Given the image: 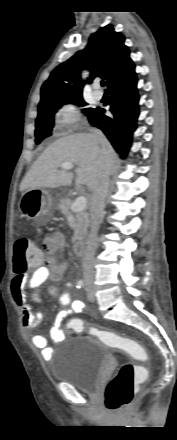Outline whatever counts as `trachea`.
Wrapping results in <instances>:
<instances>
[{
    "mask_svg": "<svg viewBox=\"0 0 177 440\" xmlns=\"http://www.w3.org/2000/svg\"><path fill=\"white\" fill-rule=\"evenodd\" d=\"M101 85L104 86V85H105V82H104V81H101Z\"/></svg>",
    "mask_w": 177,
    "mask_h": 440,
    "instance_id": "trachea-1",
    "label": "trachea"
}]
</instances>
